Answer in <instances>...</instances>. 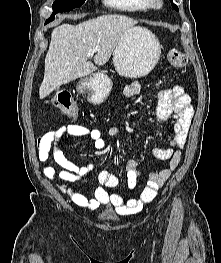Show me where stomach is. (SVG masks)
Instances as JSON below:
<instances>
[{"mask_svg": "<svg viewBox=\"0 0 221 263\" xmlns=\"http://www.w3.org/2000/svg\"><path fill=\"white\" fill-rule=\"evenodd\" d=\"M161 45L147 29L135 27L121 37L113 56L116 71L129 78L148 75L158 63ZM79 88L89 93L94 104L102 103L112 89L110 78L102 72L95 73L81 82Z\"/></svg>", "mask_w": 221, "mask_h": 263, "instance_id": "0dacf381", "label": "stomach"}]
</instances>
